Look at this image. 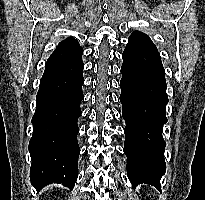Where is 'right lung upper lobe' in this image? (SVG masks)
<instances>
[{
  "label": "right lung upper lobe",
  "mask_w": 205,
  "mask_h": 200,
  "mask_svg": "<svg viewBox=\"0 0 205 200\" xmlns=\"http://www.w3.org/2000/svg\"><path fill=\"white\" fill-rule=\"evenodd\" d=\"M79 43L73 37L67 38L64 41L60 42L56 48L57 49H74L79 48Z\"/></svg>",
  "instance_id": "cb5924a9"
}]
</instances>
